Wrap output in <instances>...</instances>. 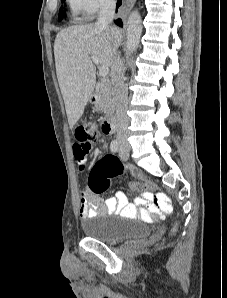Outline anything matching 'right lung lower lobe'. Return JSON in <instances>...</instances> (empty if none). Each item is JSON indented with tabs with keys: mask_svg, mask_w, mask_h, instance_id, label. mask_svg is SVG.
Segmentation results:
<instances>
[{
	"mask_svg": "<svg viewBox=\"0 0 227 298\" xmlns=\"http://www.w3.org/2000/svg\"><path fill=\"white\" fill-rule=\"evenodd\" d=\"M120 5H121V0H118L116 9H118V7H119ZM115 23H116L118 26H120V27L123 26V23H122L119 19L116 20Z\"/></svg>",
	"mask_w": 227,
	"mask_h": 298,
	"instance_id": "98d812e1",
	"label": "right lung lower lobe"
}]
</instances>
